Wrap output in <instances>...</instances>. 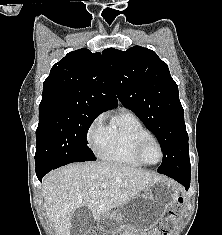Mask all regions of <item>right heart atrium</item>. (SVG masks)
<instances>
[{"label":"right heart atrium","instance_id":"d8ad5b80","mask_svg":"<svg viewBox=\"0 0 222 235\" xmlns=\"http://www.w3.org/2000/svg\"><path fill=\"white\" fill-rule=\"evenodd\" d=\"M104 115L97 116L87 131V140L93 149H97L104 135Z\"/></svg>","mask_w":222,"mask_h":235}]
</instances>
